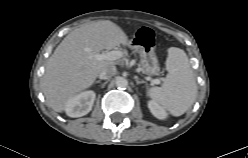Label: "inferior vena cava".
Wrapping results in <instances>:
<instances>
[{
	"instance_id": "obj_1",
	"label": "inferior vena cava",
	"mask_w": 248,
	"mask_h": 158,
	"mask_svg": "<svg viewBox=\"0 0 248 158\" xmlns=\"http://www.w3.org/2000/svg\"><path fill=\"white\" fill-rule=\"evenodd\" d=\"M116 74V67L114 65L108 66L104 68L100 73H99V78L103 80L110 79L112 76Z\"/></svg>"
}]
</instances>
